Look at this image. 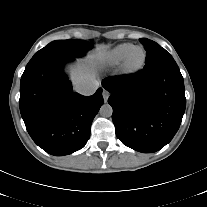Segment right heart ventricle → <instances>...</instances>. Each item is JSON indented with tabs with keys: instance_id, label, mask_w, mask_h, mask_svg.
<instances>
[{
	"instance_id": "e07e8e85",
	"label": "right heart ventricle",
	"mask_w": 207,
	"mask_h": 207,
	"mask_svg": "<svg viewBox=\"0 0 207 207\" xmlns=\"http://www.w3.org/2000/svg\"><path fill=\"white\" fill-rule=\"evenodd\" d=\"M134 47L133 44L124 43L117 45L116 47L112 48L111 50L107 51L101 59V62L108 67H115L119 65L128 52Z\"/></svg>"
}]
</instances>
